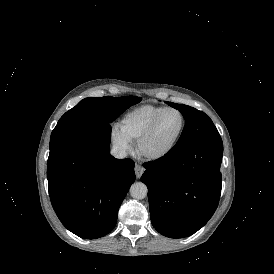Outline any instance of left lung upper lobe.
I'll list each match as a JSON object with an SVG mask.
<instances>
[{"instance_id":"left-lung-upper-lobe-1","label":"left lung upper lobe","mask_w":274,"mask_h":274,"mask_svg":"<svg viewBox=\"0 0 274 274\" xmlns=\"http://www.w3.org/2000/svg\"><path fill=\"white\" fill-rule=\"evenodd\" d=\"M167 103L179 110L185 119L182 134L171 150H179L185 146L205 140L221 139L212 120L204 112L187 105Z\"/></svg>"}]
</instances>
